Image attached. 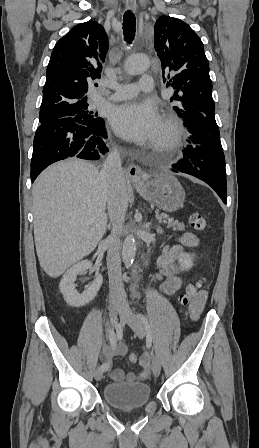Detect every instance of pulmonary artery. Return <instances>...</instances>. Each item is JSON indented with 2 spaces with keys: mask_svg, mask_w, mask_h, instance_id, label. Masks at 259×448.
<instances>
[{
  "mask_svg": "<svg viewBox=\"0 0 259 448\" xmlns=\"http://www.w3.org/2000/svg\"><path fill=\"white\" fill-rule=\"evenodd\" d=\"M136 57L137 54L131 53L126 57V60L124 62L125 70L130 74H141L145 71L144 67L140 66L135 62ZM143 78L147 80H152V77L148 75H144ZM103 87H107L116 91L114 94L110 96L101 97V100L103 101H119L133 97L139 92V90L133 88L132 84H119L115 82H106L103 85ZM98 90L100 91L101 88H98Z\"/></svg>",
  "mask_w": 259,
  "mask_h": 448,
  "instance_id": "pulmonary-artery-1",
  "label": "pulmonary artery"
}]
</instances>
